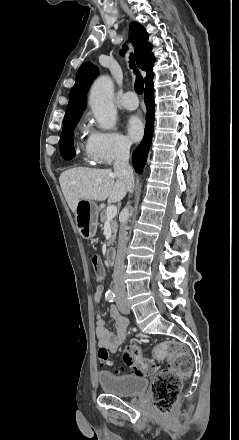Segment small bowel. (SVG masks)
Wrapping results in <instances>:
<instances>
[{
    "label": "small bowel",
    "mask_w": 239,
    "mask_h": 440,
    "mask_svg": "<svg viewBox=\"0 0 239 440\" xmlns=\"http://www.w3.org/2000/svg\"><path fill=\"white\" fill-rule=\"evenodd\" d=\"M103 292V285H98L95 288L93 299L96 304L101 302ZM110 316L115 322V330H109L106 327L104 317L98 314L96 317V335L100 349L116 352L126 338L128 319L122 316L114 306L110 308Z\"/></svg>",
    "instance_id": "obj_1"
}]
</instances>
